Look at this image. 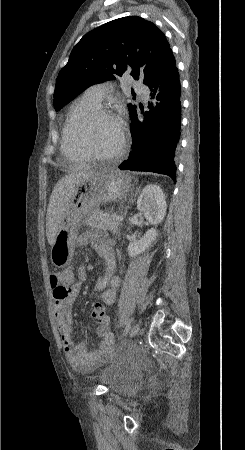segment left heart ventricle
<instances>
[{"label":"left heart ventricle","instance_id":"1","mask_svg":"<svg viewBox=\"0 0 245 450\" xmlns=\"http://www.w3.org/2000/svg\"><path fill=\"white\" fill-rule=\"evenodd\" d=\"M78 131H84V124L78 126ZM121 142V128L112 120L98 122L91 134V144L99 154H109L115 151Z\"/></svg>","mask_w":245,"mask_h":450}]
</instances>
